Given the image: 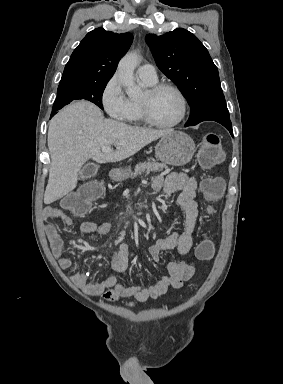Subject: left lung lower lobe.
Segmentation results:
<instances>
[{
	"instance_id": "1",
	"label": "left lung lower lobe",
	"mask_w": 283,
	"mask_h": 384,
	"mask_svg": "<svg viewBox=\"0 0 283 384\" xmlns=\"http://www.w3.org/2000/svg\"><path fill=\"white\" fill-rule=\"evenodd\" d=\"M213 121H216V122L222 124L230 132V134L233 136L232 124H231V121L229 119H215ZM185 127H187V126H185Z\"/></svg>"
}]
</instances>
